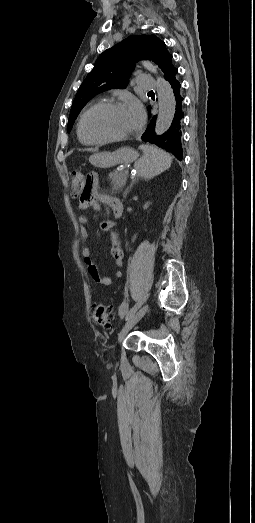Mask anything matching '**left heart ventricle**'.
I'll return each mask as SVG.
<instances>
[{"instance_id": "1", "label": "left heart ventricle", "mask_w": 255, "mask_h": 523, "mask_svg": "<svg viewBox=\"0 0 255 523\" xmlns=\"http://www.w3.org/2000/svg\"><path fill=\"white\" fill-rule=\"evenodd\" d=\"M138 120L131 104L99 107L88 114L84 131L92 138H110L135 131Z\"/></svg>"}]
</instances>
